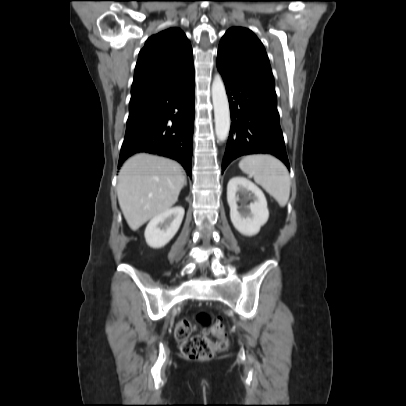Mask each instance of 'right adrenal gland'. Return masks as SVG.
I'll list each match as a JSON object with an SVG mask.
<instances>
[{
  "mask_svg": "<svg viewBox=\"0 0 406 406\" xmlns=\"http://www.w3.org/2000/svg\"><path fill=\"white\" fill-rule=\"evenodd\" d=\"M184 186H187V180H185Z\"/></svg>",
  "mask_w": 406,
  "mask_h": 406,
  "instance_id": "obj_1",
  "label": "right adrenal gland"
}]
</instances>
